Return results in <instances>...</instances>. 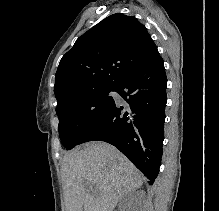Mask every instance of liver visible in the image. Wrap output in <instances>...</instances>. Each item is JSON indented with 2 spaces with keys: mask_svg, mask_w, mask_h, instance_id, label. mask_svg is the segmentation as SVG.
Returning a JSON list of instances; mask_svg holds the SVG:
<instances>
[{
  "mask_svg": "<svg viewBox=\"0 0 219 211\" xmlns=\"http://www.w3.org/2000/svg\"><path fill=\"white\" fill-rule=\"evenodd\" d=\"M61 169L66 211H113L126 193L142 187L144 179L124 153L104 141L68 151ZM87 181L97 193L86 189Z\"/></svg>",
  "mask_w": 219,
  "mask_h": 211,
  "instance_id": "obj_1",
  "label": "liver"
}]
</instances>
